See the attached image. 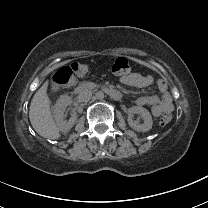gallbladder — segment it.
<instances>
[{
  "label": "gallbladder",
  "mask_w": 208,
  "mask_h": 208,
  "mask_svg": "<svg viewBox=\"0 0 208 208\" xmlns=\"http://www.w3.org/2000/svg\"><path fill=\"white\" fill-rule=\"evenodd\" d=\"M51 89H52V91L57 92V91H59L60 86H59V84L54 83V84H52Z\"/></svg>",
  "instance_id": "obj_1"
}]
</instances>
